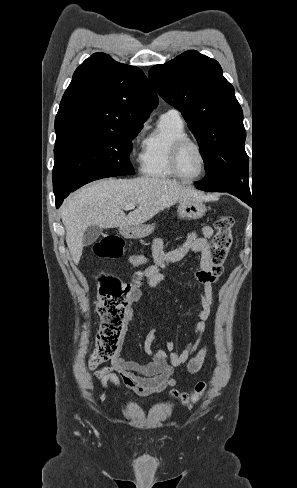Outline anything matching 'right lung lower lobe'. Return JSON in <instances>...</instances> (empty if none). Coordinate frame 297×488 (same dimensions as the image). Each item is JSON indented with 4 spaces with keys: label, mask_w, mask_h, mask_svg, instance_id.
Segmentation results:
<instances>
[{
    "label": "right lung lower lobe",
    "mask_w": 297,
    "mask_h": 488,
    "mask_svg": "<svg viewBox=\"0 0 297 488\" xmlns=\"http://www.w3.org/2000/svg\"><path fill=\"white\" fill-rule=\"evenodd\" d=\"M65 197L66 196L56 198V208H58L62 204Z\"/></svg>",
    "instance_id": "98d812e1"
}]
</instances>
